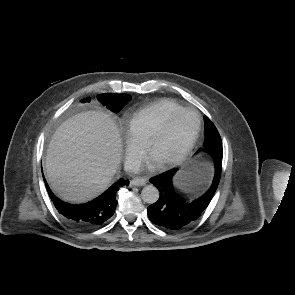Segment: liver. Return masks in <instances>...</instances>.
<instances>
[{
  "instance_id": "1",
  "label": "liver",
  "mask_w": 295,
  "mask_h": 295,
  "mask_svg": "<svg viewBox=\"0 0 295 295\" xmlns=\"http://www.w3.org/2000/svg\"><path fill=\"white\" fill-rule=\"evenodd\" d=\"M121 155L119 130L109 115L76 114L58 127L48 146L49 183L65 201L88 202L109 187Z\"/></svg>"
}]
</instances>
